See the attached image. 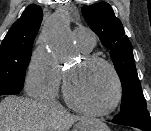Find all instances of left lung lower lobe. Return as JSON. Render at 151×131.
I'll return each mask as SVG.
<instances>
[{"label":"left lung lower lobe","instance_id":"1","mask_svg":"<svg viewBox=\"0 0 151 131\" xmlns=\"http://www.w3.org/2000/svg\"><path fill=\"white\" fill-rule=\"evenodd\" d=\"M112 123L139 128L143 131H151V117L147 107H133L116 115Z\"/></svg>","mask_w":151,"mask_h":131}]
</instances>
